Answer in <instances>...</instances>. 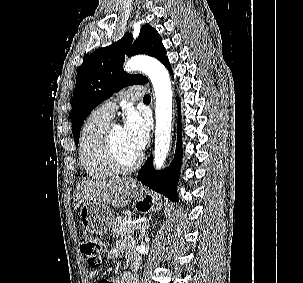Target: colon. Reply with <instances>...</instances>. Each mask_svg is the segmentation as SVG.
Here are the masks:
<instances>
[{"label":"colon","instance_id":"obj_1","mask_svg":"<svg viewBox=\"0 0 303 283\" xmlns=\"http://www.w3.org/2000/svg\"><path fill=\"white\" fill-rule=\"evenodd\" d=\"M80 250L91 266H99L107 251L106 243L99 238L83 237L80 240ZM98 283H112L109 279H100Z\"/></svg>","mask_w":303,"mask_h":283}]
</instances>
